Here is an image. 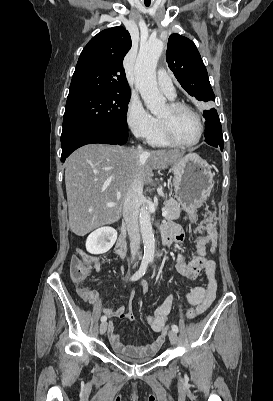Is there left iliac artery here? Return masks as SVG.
I'll return each instance as SVG.
<instances>
[{
  "label": "left iliac artery",
  "mask_w": 273,
  "mask_h": 401,
  "mask_svg": "<svg viewBox=\"0 0 273 401\" xmlns=\"http://www.w3.org/2000/svg\"><path fill=\"white\" fill-rule=\"evenodd\" d=\"M150 261L152 262V259ZM172 330L177 333L179 331L178 326L175 324L172 325Z\"/></svg>",
  "instance_id": "obj_1"
}]
</instances>
